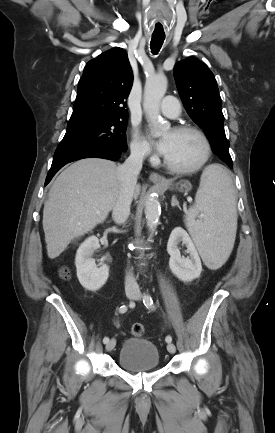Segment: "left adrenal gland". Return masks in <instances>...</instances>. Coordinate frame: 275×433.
<instances>
[{
    "label": "left adrenal gland",
    "mask_w": 275,
    "mask_h": 433,
    "mask_svg": "<svg viewBox=\"0 0 275 433\" xmlns=\"http://www.w3.org/2000/svg\"><path fill=\"white\" fill-rule=\"evenodd\" d=\"M171 206L172 207H175V206H177L179 209H180V206H179V202H178V200H177V198H176V196L174 195V196H172V200H171Z\"/></svg>",
    "instance_id": "a2214340"
}]
</instances>
